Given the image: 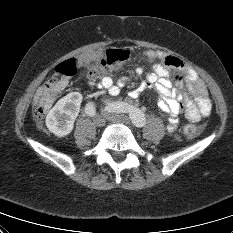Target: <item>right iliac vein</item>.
Returning a JSON list of instances; mask_svg holds the SVG:
<instances>
[{"mask_svg": "<svg viewBox=\"0 0 233 233\" xmlns=\"http://www.w3.org/2000/svg\"><path fill=\"white\" fill-rule=\"evenodd\" d=\"M94 124L97 127H103L105 125L104 115H96L95 118H94Z\"/></svg>", "mask_w": 233, "mask_h": 233, "instance_id": "obj_1", "label": "right iliac vein"}]
</instances>
